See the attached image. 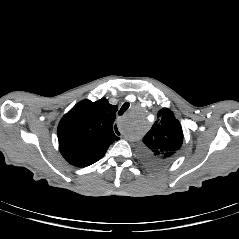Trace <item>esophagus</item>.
Segmentation results:
<instances>
[{
  "label": "esophagus",
  "instance_id": "obj_1",
  "mask_svg": "<svg viewBox=\"0 0 239 239\" xmlns=\"http://www.w3.org/2000/svg\"><path fill=\"white\" fill-rule=\"evenodd\" d=\"M113 130L118 134L121 135L123 133V129L120 127L118 123L113 125Z\"/></svg>",
  "mask_w": 239,
  "mask_h": 239
}]
</instances>
